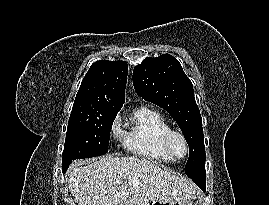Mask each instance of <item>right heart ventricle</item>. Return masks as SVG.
Listing matches in <instances>:
<instances>
[{
	"label": "right heart ventricle",
	"instance_id": "1",
	"mask_svg": "<svg viewBox=\"0 0 269 205\" xmlns=\"http://www.w3.org/2000/svg\"><path fill=\"white\" fill-rule=\"evenodd\" d=\"M166 118L158 111L141 107L133 115L126 131L124 147L132 155L157 163L174 161L162 148L161 137L170 129Z\"/></svg>",
	"mask_w": 269,
	"mask_h": 205
}]
</instances>
